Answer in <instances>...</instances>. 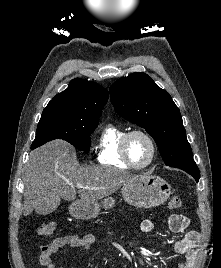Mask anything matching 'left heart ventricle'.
<instances>
[{
  "instance_id": "b2bd125f",
  "label": "left heart ventricle",
  "mask_w": 221,
  "mask_h": 268,
  "mask_svg": "<svg viewBox=\"0 0 221 268\" xmlns=\"http://www.w3.org/2000/svg\"><path fill=\"white\" fill-rule=\"evenodd\" d=\"M128 153L133 163L142 165L149 160L151 147L145 137L142 135H134L128 142Z\"/></svg>"
}]
</instances>
